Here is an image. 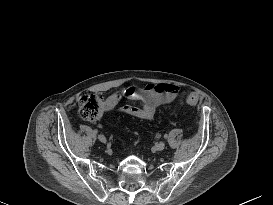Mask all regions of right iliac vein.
Instances as JSON below:
<instances>
[{"instance_id":"obj_1","label":"right iliac vein","mask_w":273,"mask_h":205,"mask_svg":"<svg viewBox=\"0 0 273 205\" xmlns=\"http://www.w3.org/2000/svg\"><path fill=\"white\" fill-rule=\"evenodd\" d=\"M98 139H99V141L100 142H102V143H106V137L104 136V135H102V134H100V135H98Z\"/></svg>"}]
</instances>
